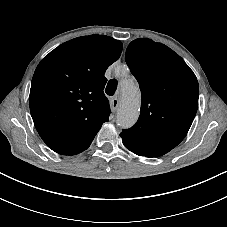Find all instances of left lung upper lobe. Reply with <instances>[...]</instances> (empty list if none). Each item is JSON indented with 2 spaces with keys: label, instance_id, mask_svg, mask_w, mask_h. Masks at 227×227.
<instances>
[{
  "label": "left lung upper lobe",
  "instance_id": "left-lung-upper-lobe-1",
  "mask_svg": "<svg viewBox=\"0 0 227 227\" xmlns=\"http://www.w3.org/2000/svg\"><path fill=\"white\" fill-rule=\"evenodd\" d=\"M125 60L141 90L137 123L120 136L126 147L161 156L186 136L198 109L199 85L184 60L151 39L132 41Z\"/></svg>",
  "mask_w": 227,
  "mask_h": 227
}]
</instances>
